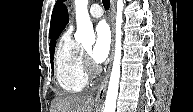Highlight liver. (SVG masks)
<instances>
[{"mask_svg": "<svg viewBox=\"0 0 193 112\" xmlns=\"http://www.w3.org/2000/svg\"><path fill=\"white\" fill-rule=\"evenodd\" d=\"M51 110V112H98L99 107L91 96H63L53 101Z\"/></svg>", "mask_w": 193, "mask_h": 112, "instance_id": "liver-1", "label": "liver"}]
</instances>
